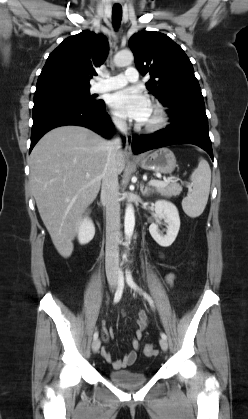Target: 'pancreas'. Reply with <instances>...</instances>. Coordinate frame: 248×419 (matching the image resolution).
Returning <instances> with one entry per match:
<instances>
[{
	"label": "pancreas",
	"instance_id": "pancreas-1",
	"mask_svg": "<svg viewBox=\"0 0 248 419\" xmlns=\"http://www.w3.org/2000/svg\"><path fill=\"white\" fill-rule=\"evenodd\" d=\"M154 190L162 196L170 198L178 196L182 191V187L176 183H168L166 186H155Z\"/></svg>",
	"mask_w": 248,
	"mask_h": 419
}]
</instances>
